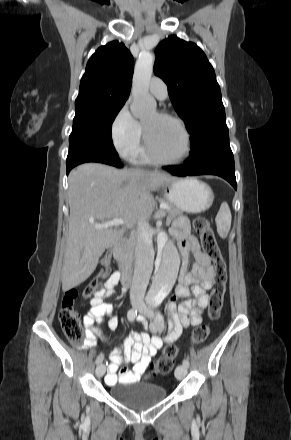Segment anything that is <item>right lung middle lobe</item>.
<instances>
[{
	"label": "right lung middle lobe",
	"instance_id": "1",
	"mask_svg": "<svg viewBox=\"0 0 291 440\" xmlns=\"http://www.w3.org/2000/svg\"><path fill=\"white\" fill-rule=\"evenodd\" d=\"M125 101H94L75 104L69 150L77 147L100 149L118 155L114 149L111 126Z\"/></svg>",
	"mask_w": 291,
	"mask_h": 440
}]
</instances>
